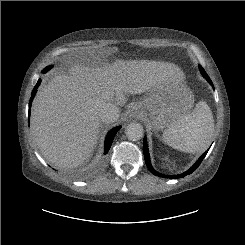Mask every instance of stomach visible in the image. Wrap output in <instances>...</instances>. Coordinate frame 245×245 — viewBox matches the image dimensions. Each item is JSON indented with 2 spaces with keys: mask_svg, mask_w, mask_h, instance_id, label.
I'll return each mask as SVG.
<instances>
[{
  "mask_svg": "<svg viewBox=\"0 0 245 245\" xmlns=\"http://www.w3.org/2000/svg\"><path fill=\"white\" fill-rule=\"evenodd\" d=\"M194 95L178 77L166 78L152 88L144 100L149 119L156 130L178 123L190 114Z\"/></svg>",
  "mask_w": 245,
  "mask_h": 245,
  "instance_id": "0dacf381",
  "label": "stomach"
}]
</instances>
